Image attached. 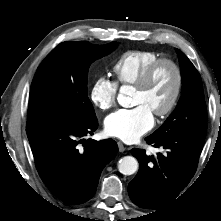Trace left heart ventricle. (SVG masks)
<instances>
[{"mask_svg":"<svg viewBox=\"0 0 221 221\" xmlns=\"http://www.w3.org/2000/svg\"><path fill=\"white\" fill-rule=\"evenodd\" d=\"M174 85V70L169 65H162L144 89H134L133 105H145L152 113L160 111L168 104Z\"/></svg>","mask_w":221,"mask_h":221,"instance_id":"b2bd125f","label":"left heart ventricle"}]
</instances>
